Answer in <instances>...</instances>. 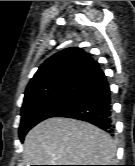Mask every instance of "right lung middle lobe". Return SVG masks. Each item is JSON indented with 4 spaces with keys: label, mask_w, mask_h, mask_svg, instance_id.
<instances>
[{
    "label": "right lung middle lobe",
    "mask_w": 135,
    "mask_h": 166,
    "mask_svg": "<svg viewBox=\"0 0 135 166\" xmlns=\"http://www.w3.org/2000/svg\"><path fill=\"white\" fill-rule=\"evenodd\" d=\"M71 98L72 94L68 85L57 88L35 100L23 103L19 127L20 140L23 141L26 133L39 122L56 117L64 111Z\"/></svg>",
    "instance_id": "right-lung-middle-lobe-1"
}]
</instances>
